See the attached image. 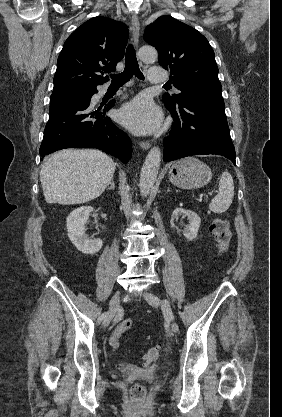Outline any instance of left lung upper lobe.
<instances>
[{
	"mask_svg": "<svg viewBox=\"0 0 282 417\" xmlns=\"http://www.w3.org/2000/svg\"><path fill=\"white\" fill-rule=\"evenodd\" d=\"M145 41L159 52V64L170 70L180 94L163 95L164 104L175 107L191 91L201 88L221 91L214 51L208 40L193 27L169 15L147 26Z\"/></svg>",
	"mask_w": 282,
	"mask_h": 417,
	"instance_id": "obj_1",
	"label": "left lung upper lobe"
}]
</instances>
